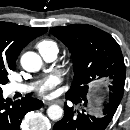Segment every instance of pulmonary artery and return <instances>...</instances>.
Here are the masks:
<instances>
[{
  "mask_svg": "<svg viewBox=\"0 0 130 130\" xmlns=\"http://www.w3.org/2000/svg\"><path fill=\"white\" fill-rule=\"evenodd\" d=\"M45 61L52 62L57 57V50H50L48 52H44L41 54ZM33 89L32 85H26V84H16V83H10L7 86V91L9 93H27L30 92Z\"/></svg>",
  "mask_w": 130,
  "mask_h": 130,
  "instance_id": "obj_1",
  "label": "pulmonary artery"
}]
</instances>
